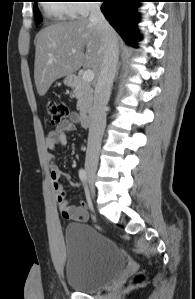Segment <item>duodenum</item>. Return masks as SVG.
<instances>
[{
	"label": "duodenum",
	"mask_w": 195,
	"mask_h": 299,
	"mask_svg": "<svg viewBox=\"0 0 195 299\" xmlns=\"http://www.w3.org/2000/svg\"><path fill=\"white\" fill-rule=\"evenodd\" d=\"M70 84L73 86L78 84V78L76 76H71L70 78ZM79 120L84 127H88L92 124V114L91 113H85L81 114L79 116Z\"/></svg>",
	"instance_id": "1"
}]
</instances>
